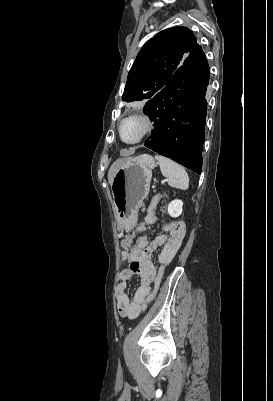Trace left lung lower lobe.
<instances>
[{
  "label": "left lung lower lobe",
  "instance_id": "obj_1",
  "mask_svg": "<svg viewBox=\"0 0 273 401\" xmlns=\"http://www.w3.org/2000/svg\"><path fill=\"white\" fill-rule=\"evenodd\" d=\"M209 84V66L196 44L144 112L155 130L145 146L200 174Z\"/></svg>",
  "mask_w": 273,
  "mask_h": 401
}]
</instances>
